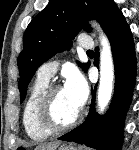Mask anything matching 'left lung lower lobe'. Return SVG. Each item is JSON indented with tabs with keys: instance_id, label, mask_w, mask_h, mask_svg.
<instances>
[{
	"instance_id": "obj_1",
	"label": "left lung lower lobe",
	"mask_w": 139,
	"mask_h": 150,
	"mask_svg": "<svg viewBox=\"0 0 139 150\" xmlns=\"http://www.w3.org/2000/svg\"><path fill=\"white\" fill-rule=\"evenodd\" d=\"M103 29L110 40L115 65V92L110 108L106 115L98 116L94 110V91L86 120L58 139L84 144L98 150H121L124 119L135 85V46L130 28L116 5L111 9ZM95 52L97 66L98 47Z\"/></svg>"
}]
</instances>
